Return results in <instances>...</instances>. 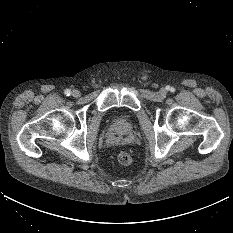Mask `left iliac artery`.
<instances>
[{"mask_svg":"<svg viewBox=\"0 0 233 233\" xmlns=\"http://www.w3.org/2000/svg\"><path fill=\"white\" fill-rule=\"evenodd\" d=\"M170 90H171V91H173L174 89H173V88H171Z\"/></svg>","mask_w":233,"mask_h":233,"instance_id":"44dca946","label":"left iliac artery"}]
</instances>
